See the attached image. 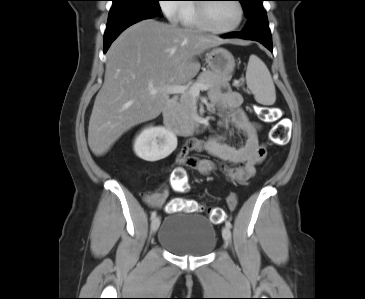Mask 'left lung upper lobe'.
Returning a JSON list of instances; mask_svg holds the SVG:
<instances>
[{
  "label": "left lung upper lobe",
  "instance_id": "5c2ea615",
  "mask_svg": "<svg viewBox=\"0 0 365 299\" xmlns=\"http://www.w3.org/2000/svg\"><path fill=\"white\" fill-rule=\"evenodd\" d=\"M244 10L246 18L249 20L257 13L265 11L262 5L264 0H238Z\"/></svg>",
  "mask_w": 365,
  "mask_h": 299
}]
</instances>
